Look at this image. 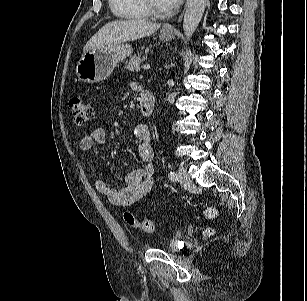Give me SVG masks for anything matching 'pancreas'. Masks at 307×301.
Returning <instances> with one entry per match:
<instances>
[{"instance_id": "obj_1", "label": "pancreas", "mask_w": 307, "mask_h": 301, "mask_svg": "<svg viewBox=\"0 0 307 301\" xmlns=\"http://www.w3.org/2000/svg\"><path fill=\"white\" fill-rule=\"evenodd\" d=\"M147 60L146 55H142V53H139L138 55H135L132 57L126 64L125 68L130 71H140V63Z\"/></svg>"}]
</instances>
